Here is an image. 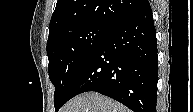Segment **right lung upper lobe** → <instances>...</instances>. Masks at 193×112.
<instances>
[{"mask_svg": "<svg viewBox=\"0 0 193 112\" xmlns=\"http://www.w3.org/2000/svg\"><path fill=\"white\" fill-rule=\"evenodd\" d=\"M147 3L148 0H58L50 20L48 40L60 30L81 23L111 28Z\"/></svg>", "mask_w": 193, "mask_h": 112, "instance_id": "cb5924a9", "label": "right lung upper lobe"}]
</instances>
